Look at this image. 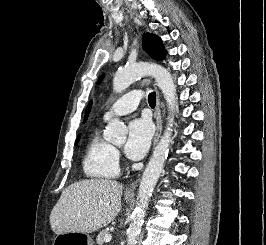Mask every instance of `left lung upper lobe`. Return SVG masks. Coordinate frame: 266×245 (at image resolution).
<instances>
[{"instance_id":"obj_1","label":"left lung upper lobe","mask_w":266,"mask_h":245,"mask_svg":"<svg viewBox=\"0 0 266 245\" xmlns=\"http://www.w3.org/2000/svg\"><path fill=\"white\" fill-rule=\"evenodd\" d=\"M142 47L155 60H163L165 58L166 51L163 48L162 42L154 34H143Z\"/></svg>"}]
</instances>
